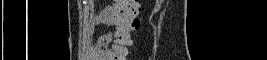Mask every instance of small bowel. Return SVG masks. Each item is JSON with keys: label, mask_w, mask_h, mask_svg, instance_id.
<instances>
[{"label": "small bowel", "mask_w": 267, "mask_h": 60, "mask_svg": "<svg viewBox=\"0 0 267 60\" xmlns=\"http://www.w3.org/2000/svg\"><path fill=\"white\" fill-rule=\"evenodd\" d=\"M110 13H111L110 7L104 8L98 17L99 22L103 23V24L106 22H110L109 21ZM93 33H94V28L91 29V33H90V46H91L94 54L96 56H99L102 53V51L104 50V48L110 42L112 36H111L110 32H107L106 34H104L100 38H98V40L96 42H94L92 40Z\"/></svg>", "instance_id": "small-bowel-1"}]
</instances>
